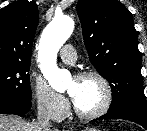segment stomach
Returning <instances> with one entry per match:
<instances>
[{"instance_id": "1", "label": "stomach", "mask_w": 147, "mask_h": 131, "mask_svg": "<svg viewBox=\"0 0 147 131\" xmlns=\"http://www.w3.org/2000/svg\"><path fill=\"white\" fill-rule=\"evenodd\" d=\"M82 131H99L96 128H84Z\"/></svg>"}]
</instances>
